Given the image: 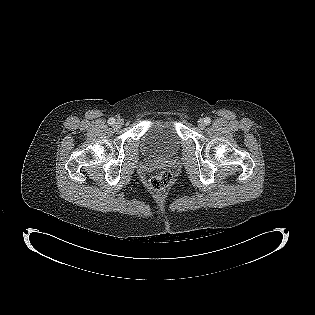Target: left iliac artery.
<instances>
[{"mask_svg": "<svg viewBox=\"0 0 315 315\" xmlns=\"http://www.w3.org/2000/svg\"><path fill=\"white\" fill-rule=\"evenodd\" d=\"M204 122L206 123V125H209L210 122H211V119H210L209 117H206V118L204 119Z\"/></svg>", "mask_w": 315, "mask_h": 315, "instance_id": "44dca946", "label": "left iliac artery"}]
</instances>
